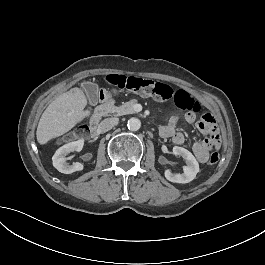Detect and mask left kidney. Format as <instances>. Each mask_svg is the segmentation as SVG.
I'll return each mask as SVG.
<instances>
[{"instance_id":"1","label":"left kidney","mask_w":265,"mask_h":265,"mask_svg":"<svg viewBox=\"0 0 265 265\" xmlns=\"http://www.w3.org/2000/svg\"><path fill=\"white\" fill-rule=\"evenodd\" d=\"M173 154L181 156L186 160V166L183 167V173L173 174L170 170H165L167 180L174 183H188L192 181L199 172V164L190 151L183 147L174 146Z\"/></svg>"}]
</instances>
